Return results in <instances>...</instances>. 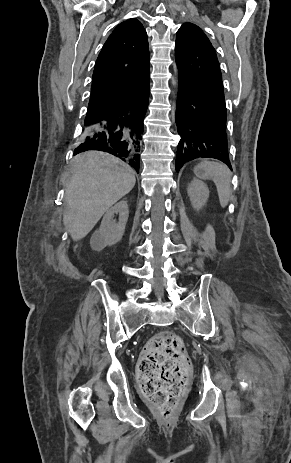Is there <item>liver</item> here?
I'll return each instance as SVG.
<instances>
[{
    "label": "liver",
    "mask_w": 291,
    "mask_h": 463,
    "mask_svg": "<svg viewBox=\"0 0 291 463\" xmlns=\"http://www.w3.org/2000/svg\"><path fill=\"white\" fill-rule=\"evenodd\" d=\"M66 185L67 211L63 224L74 241L83 239L103 214L134 187V171L120 159L99 151L80 153L72 160Z\"/></svg>",
    "instance_id": "liver-1"
}]
</instances>
